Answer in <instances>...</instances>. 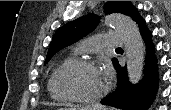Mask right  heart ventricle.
<instances>
[{
	"mask_svg": "<svg viewBox=\"0 0 171 110\" xmlns=\"http://www.w3.org/2000/svg\"><path fill=\"white\" fill-rule=\"evenodd\" d=\"M69 59H70V58L66 59L65 61H67V60H69ZM65 61H64V62H65ZM64 62H63V63H64ZM56 69H57V68H56ZM56 69L52 72V74H51L50 77H49L48 84H47L48 92H49V94H50V96H51L52 99H54V100H56V101H59V102H66V101H67L66 99L60 97V96L57 94V92H56V90H55V88H54V85H53V78H54V74H55Z\"/></svg>",
	"mask_w": 171,
	"mask_h": 110,
	"instance_id": "right-heart-ventricle-1",
	"label": "right heart ventricle"
}]
</instances>
